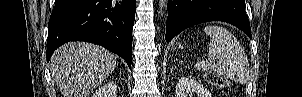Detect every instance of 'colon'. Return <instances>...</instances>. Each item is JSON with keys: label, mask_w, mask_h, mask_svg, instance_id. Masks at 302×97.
<instances>
[{"label": "colon", "mask_w": 302, "mask_h": 97, "mask_svg": "<svg viewBox=\"0 0 302 97\" xmlns=\"http://www.w3.org/2000/svg\"><path fill=\"white\" fill-rule=\"evenodd\" d=\"M206 81L212 85H223L225 83V79L214 71H210L205 76Z\"/></svg>", "instance_id": "colon-1"}]
</instances>
